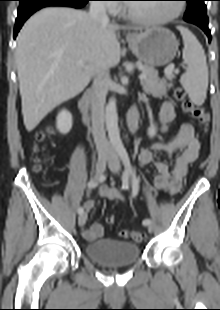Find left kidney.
I'll return each instance as SVG.
<instances>
[{
  "instance_id": "1",
  "label": "left kidney",
  "mask_w": 220,
  "mask_h": 310,
  "mask_svg": "<svg viewBox=\"0 0 220 310\" xmlns=\"http://www.w3.org/2000/svg\"><path fill=\"white\" fill-rule=\"evenodd\" d=\"M155 134H156V127L150 126L148 128V135H149V137L152 138L153 136H155Z\"/></svg>"
}]
</instances>
